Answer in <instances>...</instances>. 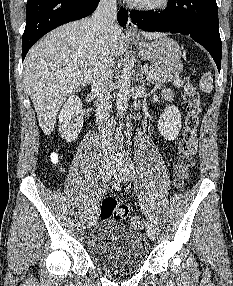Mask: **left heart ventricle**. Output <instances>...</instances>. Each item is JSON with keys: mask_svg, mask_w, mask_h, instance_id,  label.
Returning a JSON list of instances; mask_svg holds the SVG:
<instances>
[{"mask_svg": "<svg viewBox=\"0 0 233 286\" xmlns=\"http://www.w3.org/2000/svg\"><path fill=\"white\" fill-rule=\"evenodd\" d=\"M156 0H140L139 2H144V3H149V2H154Z\"/></svg>", "mask_w": 233, "mask_h": 286, "instance_id": "left-heart-ventricle-1", "label": "left heart ventricle"}]
</instances>
